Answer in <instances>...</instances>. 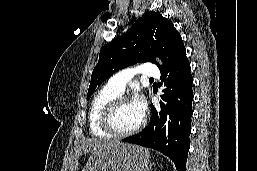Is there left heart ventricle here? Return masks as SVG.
Listing matches in <instances>:
<instances>
[{"label":"left heart ventricle","mask_w":257,"mask_h":171,"mask_svg":"<svg viewBox=\"0 0 257 171\" xmlns=\"http://www.w3.org/2000/svg\"><path fill=\"white\" fill-rule=\"evenodd\" d=\"M142 116L137 112L132 102L120 105L113 115V125L119 131H127L136 127Z\"/></svg>","instance_id":"b2bd125f"}]
</instances>
